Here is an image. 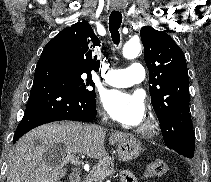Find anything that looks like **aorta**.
Segmentation results:
<instances>
[{"instance_id":"762f6f07","label":"aorta","mask_w":211,"mask_h":182,"mask_svg":"<svg viewBox=\"0 0 211 182\" xmlns=\"http://www.w3.org/2000/svg\"><path fill=\"white\" fill-rule=\"evenodd\" d=\"M141 44L138 41L130 40L125 43L122 49V54L127 59H133L139 55Z\"/></svg>"}]
</instances>
